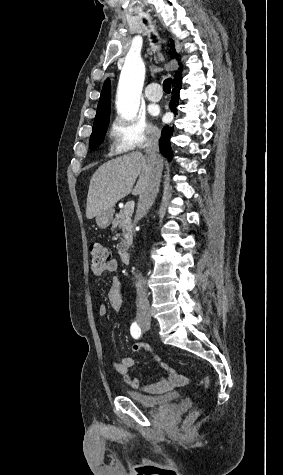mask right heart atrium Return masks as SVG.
<instances>
[{"label": "right heart atrium", "instance_id": "right-heart-atrium-1", "mask_svg": "<svg viewBox=\"0 0 283 475\" xmlns=\"http://www.w3.org/2000/svg\"><path fill=\"white\" fill-rule=\"evenodd\" d=\"M159 139L160 131L144 116L131 119L116 116L109 125L107 151L111 157L142 155L153 150Z\"/></svg>", "mask_w": 283, "mask_h": 475}]
</instances>
